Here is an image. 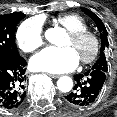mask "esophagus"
Instances as JSON below:
<instances>
[{"label": "esophagus", "mask_w": 117, "mask_h": 117, "mask_svg": "<svg viewBox=\"0 0 117 117\" xmlns=\"http://www.w3.org/2000/svg\"><path fill=\"white\" fill-rule=\"evenodd\" d=\"M49 76L52 78H59L60 74H49Z\"/></svg>", "instance_id": "1"}]
</instances>
